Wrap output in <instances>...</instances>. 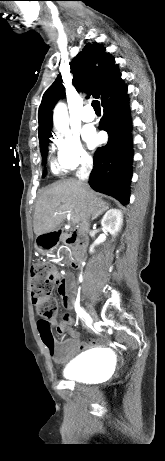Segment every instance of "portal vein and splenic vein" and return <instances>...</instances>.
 <instances>
[{
    "label": "portal vein and splenic vein",
    "mask_w": 165,
    "mask_h": 461,
    "mask_svg": "<svg viewBox=\"0 0 165 461\" xmlns=\"http://www.w3.org/2000/svg\"><path fill=\"white\" fill-rule=\"evenodd\" d=\"M71 220L73 223H77V220L75 218L72 217Z\"/></svg>",
    "instance_id": "portal-vein-and-splenic-vein-1"
}]
</instances>
